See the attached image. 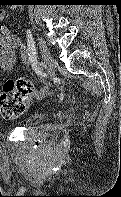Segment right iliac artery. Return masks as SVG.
Here are the masks:
<instances>
[{"label": "right iliac artery", "mask_w": 121, "mask_h": 197, "mask_svg": "<svg viewBox=\"0 0 121 197\" xmlns=\"http://www.w3.org/2000/svg\"><path fill=\"white\" fill-rule=\"evenodd\" d=\"M43 68H44V63H43V61H40L38 63V69H43Z\"/></svg>", "instance_id": "82829eb1"}]
</instances>
